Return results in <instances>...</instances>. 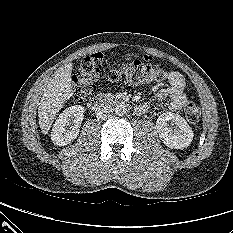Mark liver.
<instances>
[{"mask_svg": "<svg viewBox=\"0 0 233 233\" xmlns=\"http://www.w3.org/2000/svg\"><path fill=\"white\" fill-rule=\"evenodd\" d=\"M72 63L58 68L53 79L47 84L39 103V126L47 133L63 105L72 96L71 73Z\"/></svg>", "mask_w": 233, "mask_h": 233, "instance_id": "1", "label": "liver"}]
</instances>
